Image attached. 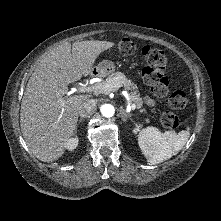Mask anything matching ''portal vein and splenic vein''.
Listing matches in <instances>:
<instances>
[{
  "mask_svg": "<svg viewBox=\"0 0 221 221\" xmlns=\"http://www.w3.org/2000/svg\"><path fill=\"white\" fill-rule=\"evenodd\" d=\"M120 86L117 85L116 83L114 84H107L105 86H100L97 84L94 85H81L77 88V92L79 93H88V92H110V91H115L119 88ZM70 93H68L69 95ZM125 95V94H124ZM126 97H128V95H125ZM129 108L134 110L136 108L135 104H131L129 105Z\"/></svg>",
  "mask_w": 221,
  "mask_h": 221,
  "instance_id": "portal-vein-and-splenic-vein-1",
  "label": "portal vein and splenic vein"
}]
</instances>
